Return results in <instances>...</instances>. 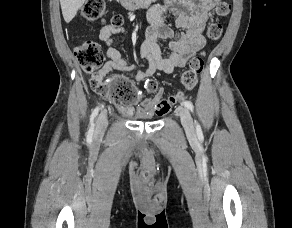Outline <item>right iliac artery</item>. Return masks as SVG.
<instances>
[{"mask_svg":"<svg viewBox=\"0 0 292 228\" xmlns=\"http://www.w3.org/2000/svg\"><path fill=\"white\" fill-rule=\"evenodd\" d=\"M98 112H99V107H96L92 114H91V117H90V127H89V130H88V134L92 136L93 134V131H94V126H95V119L98 115Z\"/></svg>","mask_w":292,"mask_h":228,"instance_id":"1","label":"right iliac artery"}]
</instances>
